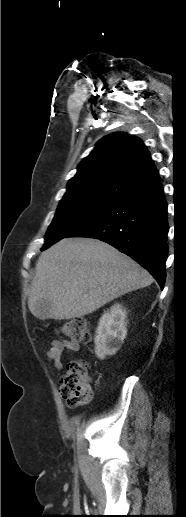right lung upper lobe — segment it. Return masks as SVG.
Returning <instances> with one entry per match:
<instances>
[{
	"mask_svg": "<svg viewBox=\"0 0 186 517\" xmlns=\"http://www.w3.org/2000/svg\"><path fill=\"white\" fill-rule=\"evenodd\" d=\"M157 182L158 172L143 142L117 132L101 139L82 160L64 197L90 195L120 199Z\"/></svg>",
	"mask_w": 186,
	"mask_h": 517,
	"instance_id": "obj_1",
	"label": "right lung upper lobe"
}]
</instances>
